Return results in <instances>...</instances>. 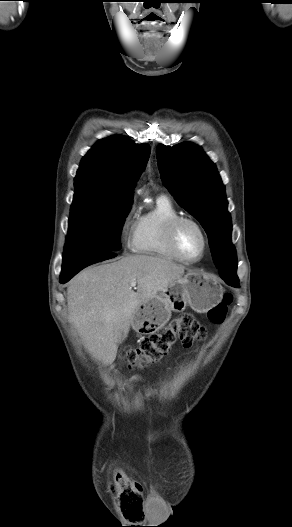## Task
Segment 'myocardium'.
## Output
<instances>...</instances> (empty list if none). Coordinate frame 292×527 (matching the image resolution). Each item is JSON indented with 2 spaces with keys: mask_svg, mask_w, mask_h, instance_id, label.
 Masks as SVG:
<instances>
[{
  "mask_svg": "<svg viewBox=\"0 0 292 527\" xmlns=\"http://www.w3.org/2000/svg\"><path fill=\"white\" fill-rule=\"evenodd\" d=\"M184 223H190L194 225L202 235L203 248H202L201 254L196 259H188L184 257L178 248L177 232H178L179 227ZM166 242H167L168 248L170 249L172 254L176 257V259L181 262L187 263V264H195V263L200 262L205 257L208 251V248H209V238H208V234L205 228L202 226V224L198 220L190 216L180 215L170 221V223L168 224L167 230H166Z\"/></svg>",
  "mask_w": 292,
  "mask_h": 527,
  "instance_id": "obj_1",
  "label": "myocardium"
}]
</instances>
